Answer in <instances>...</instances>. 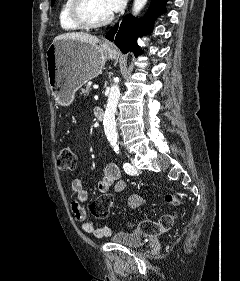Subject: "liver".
<instances>
[{
	"label": "liver",
	"mask_w": 240,
	"mask_h": 281,
	"mask_svg": "<svg viewBox=\"0 0 240 281\" xmlns=\"http://www.w3.org/2000/svg\"><path fill=\"white\" fill-rule=\"evenodd\" d=\"M61 39H75L90 44H97L100 42L98 37L83 32L64 33L55 37L54 41Z\"/></svg>",
	"instance_id": "obj_1"
}]
</instances>
